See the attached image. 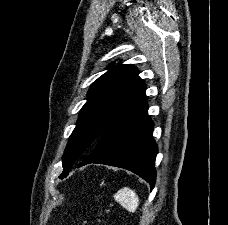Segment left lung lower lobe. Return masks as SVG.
I'll use <instances>...</instances> for the list:
<instances>
[{"instance_id": "0a47b994", "label": "left lung lower lobe", "mask_w": 228, "mask_h": 225, "mask_svg": "<svg viewBox=\"0 0 228 225\" xmlns=\"http://www.w3.org/2000/svg\"><path fill=\"white\" fill-rule=\"evenodd\" d=\"M147 110L145 98L101 135L94 150L77 167L99 163L124 168L146 180L152 190L158 147L152 137L153 121Z\"/></svg>"}]
</instances>
